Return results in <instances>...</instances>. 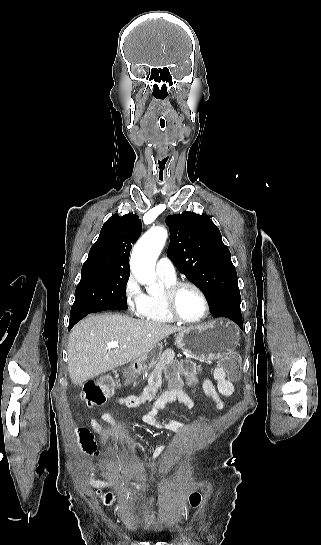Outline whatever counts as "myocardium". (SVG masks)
<instances>
[{
  "label": "myocardium",
  "instance_id": "1",
  "mask_svg": "<svg viewBox=\"0 0 321 545\" xmlns=\"http://www.w3.org/2000/svg\"><path fill=\"white\" fill-rule=\"evenodd\" d=\"M185 288H191L195 290L199 294L203 302V306H204L203 315L195 321H188V320L182 319L177 313V310L175 307V300L177 295ZM160 300L167 315L171 318L173 322L179 325L188 326V327L200 326L207 320L210 314V303L206 293L203 291V289L200 286L192 282L184 281V282H175L171 285H164Z\"/></svg>",
  "mask_w": 321,
  "mask_h": 545
}]
</instances>
